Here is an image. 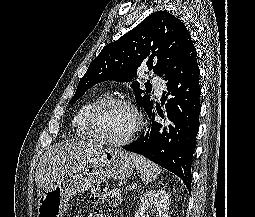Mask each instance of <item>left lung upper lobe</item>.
Segmentation results:
<instances>
[{"instance_id": "left-lung-upper-lobe-1", "label": "left lung upper lobe", "mask_w": 255, "mask_h": 217, "mask_svg": "<svg viewBox=\"0 0 255 217\" xmlns=\"http://www.w3.org/2000/svg\"><path fill=\"white\" fill-rule=\"evenodd\" d=\"M193 45L186 26L174 15L157 11L131 31L106 45L91 62L81 78L75 95L69 103L78 100L89 88L99 82L115 80L129 82L140 67L164 76L173 69L181 56ZM139 83L131 85L138 105L146 113L153 108L150 96L142 95Z\"/></svg>"}]
</instances>
